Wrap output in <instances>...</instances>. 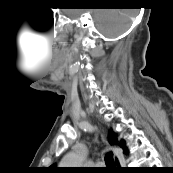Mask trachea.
<instances>
[{
    "instance_id": "obj_1",
    "label": "trachea",
    "mask_w": 173,
    "mask_h": 173,
    "mask_svg": "<svg viewBox=\"0 0 173 173\" xmlns=\"http://www.w3.org/2000/svg\"><path fill=\"white\" fill-rule=\"evenodd\" d=\"M105 163L107 165L106 170L115 168V163L113 160V153L112 152H108L105 155Z\"/></svg>"
}]
</instances>
